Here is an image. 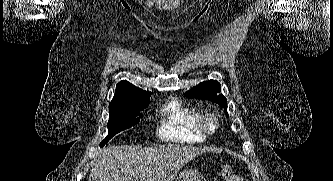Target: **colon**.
<instances>
[{
    "instance_id": "colon-1",
    "label": "colon",
    "mask_w": 333,
    "mask_h": 181,
    "mask_svg": "<svg viewBox=\"0 0 333 181\" xmlns=\"http://www.w3.org/2000/svg\"><path fill=\"white\" fill-rule=\"evenodd\" d=\"M221 175L224 181H240L239 176L231 165L223 166L221 169Z\"/></svg>"
}]
</instances>
